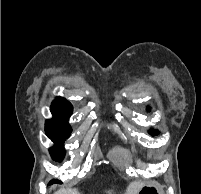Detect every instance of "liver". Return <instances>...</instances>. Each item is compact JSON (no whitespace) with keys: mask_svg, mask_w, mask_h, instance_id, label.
Instances as JSON below:
<instances>
[{"mask_svg":"<svg viewBox=\"0 0 201 194\" xmlns=\"http://www.w3.org/2000/svg\"><path fill=\"white\" fill-rule=\"evenodd\" d=\"M142 186L140 182H133L127 187L125 194H138ZM54 194H80V192L76 188H61ZM107 194H112V191H108Z\"/></svg>","mask_w":201,"mask_h":194,"instance_id":"1","label":"liver"}]
</instances>
